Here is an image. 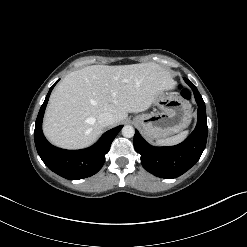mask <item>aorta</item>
<instances>
[{
	"label": "aorta",
	"mask_w": 247,
	"mask_h": 247,
	"mask_svg": "<svg viewBox=\"0 0 247 247\" xmlns=\"http://www.w3.org/2000/svg\"><path fill=\"white\" fill-rule=\"evenodd\" d=\"M135 134V130L132 126L130 125H125L123 128H122V135L124 137H127V138H131L133 137Z\"/></svg>",
	"instance_id": "obj_1"
}]
</instances>
